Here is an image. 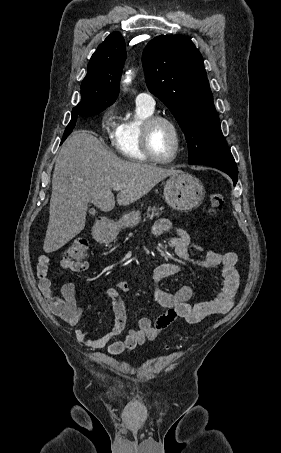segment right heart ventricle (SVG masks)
<instances>
[{
    "mask_svg": "<svg viewBox=\"0 0 281 453\" xmlns=\"http://www.w3.org/2000/svg\"><path fill=\"white\" fill-rule=\"evenodd\" d=\"M154 114L153 106L137 100L134 113L124 114L113 142L116 152L122 158L134 161L149 160L142 147V130L144 122Z\"/></svg>",
    "mask_w": 281,
    "mask_h": 453,
    "instance_id": "1",
    "label": "right heart ventricle"
}]
</instances>
